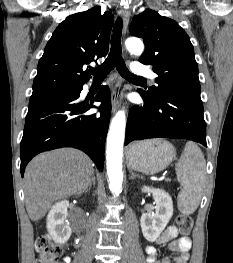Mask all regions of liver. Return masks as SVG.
Returning a JSON list of instances; mask_svg holds the SVG:
<instances>
[{
	"instance_id": "6515ba94",
	"label": "liver",
	"mask_w": 233,
	"mask_h": 263,
	"mask_svg": "<svg viewBox=\"0 0 233 263\" xmlns=\"http://www.w3.org/2000/svg\"><path fill=\"white\" fill-rule=\"evenodd\" d=\"M94 168L83 152L62 148L39 154L26 167L24 193L32 221L45 216L56 200L82 194L92 183Z\"/></svg>"
}]
</instances>
